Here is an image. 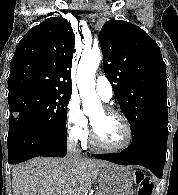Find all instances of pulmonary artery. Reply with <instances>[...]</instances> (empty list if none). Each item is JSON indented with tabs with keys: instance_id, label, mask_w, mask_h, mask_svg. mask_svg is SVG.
Segmentation results:
<instances>
[{
	"instance_id": "1",
	"label": "pulmonary artery",
	"mask_w": 178,
	"mask_h": 195,
	"mask_svg": "<svg viewBox=\"0 0 178 195\" xmlns=\"http://www.w3.org/2000/svg\"><path fill=\"white\" fill-rule=\"evenodd\" d=\"M96 90L104 101H110L113 97V87L105 76H99L95 82Z\"/></svg>"
}]
</instances>
